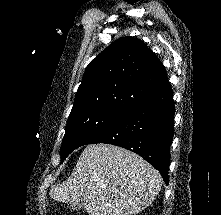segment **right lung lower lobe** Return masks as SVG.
<instances>
[{
	"label": "right lung lower lobe",
	"mask_w": 221,
	"mask_h": 215,
	"mask_svg": "<svg viewBox=\"0 0 221 215\" xmlns=\"http://www.w3.org/2000/svg\"><path fill=\"white\" fill-rule=\"evenodd\" d=\"M174 113L172 89L167 83L153 96L120 115L86 144H113L133 151L155 167L168 184Z\"/></svg>",
	"instance_id": "right-lung-lower-lobe-1"
}]
</instances>
